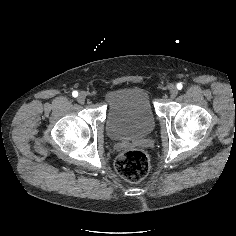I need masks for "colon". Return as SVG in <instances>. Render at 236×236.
<instances>
[{
    "instance_id": "1",
    "label": "colon",
    "mask_w": 236,
    "mask_h": 236,
    "mask_svg": "<svg viewBox=\"0 0 236 236\" xmlns=\"http://www.w3.org/2000/svg\"><path fill=\"white\" fill-rule=\"evenodd\" d=\"M115 169L123 179L138 182L148 174L150 161L143 151L127 150L117 158Z\"/></svg>"
}]
</instances>
